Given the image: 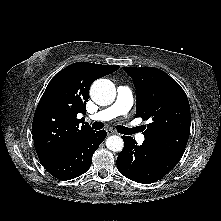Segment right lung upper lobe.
I'll list each match as a JSON object with an SVG mask.
<instances>
[{
  "label": "right lung upper lobe",
  "mask_w": 221,
  "mask_h": 221,
  "mask_svg": "<svg viewBox=\"0 0 221 221\" xmlns=\"http://www.w3.org/2000/svg\"><path fill=\"white\" fill-rule=\"evenodd\" d=\"M119 67L77 62L53 77L39 101L32 124L41 163L60 156L92 131L88 124L79 125L82 121L77 119V114L86 111L91 84Z\"/></svg>",
  "instance_id": "obj_1"
}]
</instances>
